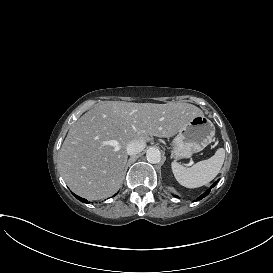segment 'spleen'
I'll list each match as a JSON object with an SVG mask.
<instances>
[{
  "instance_id": "3e777b00",
  "label": "spleen",
  "mask_w": 273,
  "mask_h": 273,
  "mask_svg": "<svg viewBox=\"0 0 273 273\" xmlns=\"http://www.w3.org/2000/svg\"><path fill=\"white\" fill-rule=\"evenodd\" d=\"M225 159V150L219 148L209 159L200 161L190 168L172 162L176 180L187 188L201 187L212 181L219 173Z\"/></svg>"
}]
</instances>
